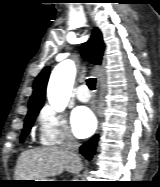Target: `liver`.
Instances as JSON below:
<instances>
[{"mask_svg": "<svg viewBox=\"0 0 160 187\" xmlns=\"http://www.w3.org/2000/svg\"><path fill=\"white\" fill-rule=\"evenodd\" d=\"M81 160H76L66 149L44 147L27 150L18 158L16 180H43L61 174L64 170L77 174L81 170Z\"/></svg>", "mask_w": 160, "mask_h": 187, "instance_id": "1", "label": "liver"}]
</instances>
